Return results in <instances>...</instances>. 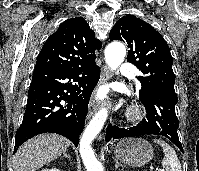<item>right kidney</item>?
<instances>
[{"label": "right kidney", "instance_id": "right-kidney-1", "mask_svg": "<svg viewBox=\"0 0 199 171\" xmlns=\"http://www.w3.org/2000/svg\"><path fill=\"white\" fill-rule=\"evenodd\" d=\"M41 171H61V170H59L57 168H52V169H43Z\"/></svg>", "mask_w": 199, "mask_h": 171}]
</instances>
